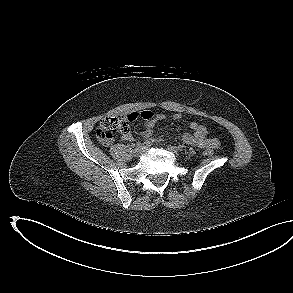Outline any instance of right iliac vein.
I'll return each mask as SVG.
<instances>
[{"label": "right iliac vein", "mask_w": 293, "mask_h": 293, "mask_svg": "<svg viewBox=\"0 0 293 293\" xmlns=\"http://www.w3.org/2000/svg\"><path fill=\"white\" fill-rule=\"evenodd\" d=\"M145 149H146V147L144 145L143 146L140 145V146L136 147L133 152L134 156L139 157L145 151Z\"/></svg>", "instance_id": "63e3f726"}]
</instances>
